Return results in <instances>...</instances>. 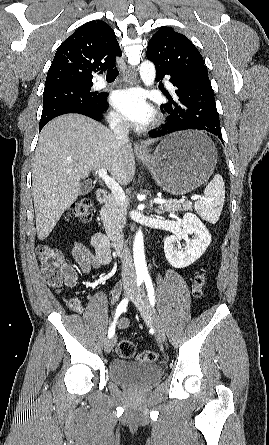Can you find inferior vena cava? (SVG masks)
Wrapping results in <instances>:
<instances>
[{
  "mask_svg": "<svg viewBox=\"0 0 269 445\" xmlns=\"http://www.w3.org/2000/svg\"><path fill=\"white\" fill-rule=\"evenodd\" d=\"M111 129L119 141L127 142L129 134L128 120L122 116L113 118L111 121ZM122 279L124 281H135L136 275L134 264L129 248L125 245L122 258Z\"/></svg>",
  "mask_w": 269,
  "mask_h": 445,
  "instance_id": "obj_1",
  "label": "inferior vena cava"
}]
</instances>
